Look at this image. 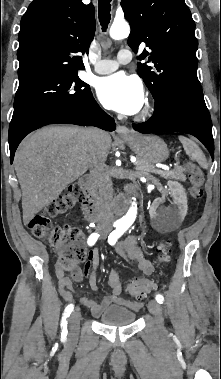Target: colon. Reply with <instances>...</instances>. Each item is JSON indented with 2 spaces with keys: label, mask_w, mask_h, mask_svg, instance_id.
<instances>
[{
  "label": "colon",
  "mask_w": 221,
  "mask_h": 379,
  "mask_svg": "<svg viewBox=\"0 0 221 379\" xmlns=\"http://www.w3.org/2000/svg\"><path fill=\"white\" fill-rule=\"evenodd\" d=\"M185 172L190 182L191 197L193 199L201 198L204 182L202 170L195 164L188 163L185 166ZM85 199V190L78 184L72 185L65 194L48 204L28 223V228L35 237L47 239L59 248L58 266L62 270L71 269L77 263L84 261L88 257V253L84 247V236L78 228L70 225H54L51 218L68 213L78 203L84 202ZM170 247L171 241L169 239L159 243L157 252L162 263L169 261ZM157 288L156 282L146 278H136L129 285L131 295L137 300H142L148 293Z\"/></svg>",
  "instance_id": "5ec220e1"
}]
</instances>
